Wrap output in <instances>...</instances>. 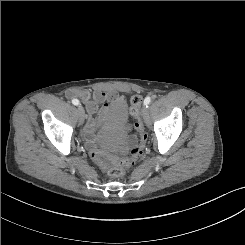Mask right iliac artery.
<instances>
[{
  "mask_svg": "<svg viewBox=\"0 0 245 245\" xmlns=\"http://www.w3.org/2000/svg\"><path fill=\"white\" fill-rule=\"evenodd\" d=\"M72 103H73L74 105H79V104H80L79 100H77V99H73V100H72Z\"/></svg>",
  "mask_w": 245,
  "mask_h": 245,
  "instance_id": "1",
  "label": "right iliac artery"
}]
</instances>
